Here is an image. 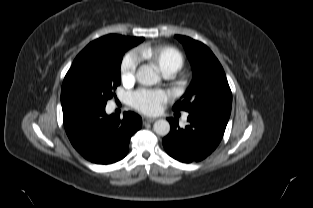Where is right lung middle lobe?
Returning <instances> with one entry per match:
<instances>
[{
	"instance_id": "obj_1",
	"label": "right lung middle lobe",
	"mask_w": 313,
	"mask_h": 208,
	"mask_svg": "<svg viewBox=\"0 0 313 208\" xmlns=\"http://www.w3.org/2000/svg\"><path fill=\"white\" fill-rule=\"evenodd\" d=\"M131 47L123 41H109L96 55L74 61L64 78L61 96L80 95L106 104L121 83L122 56Z\"/></svg>"
}]
</instances>
